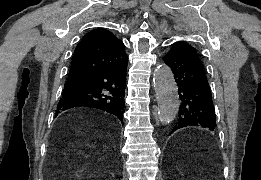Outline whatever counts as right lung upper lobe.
Instances as JSON below:
<instances>
[{"label":"right lung upper lobe","instance_id":"cb5924a9","mask_svg":"<svg viewBox=\"0 0 261 180\" xmlns=\"http://www.w3.org/2000/svg\"><path fill=\"white\" fill-rule=\"evenodd\" d=\"M124 44L99 28L87 33L77 45L66 83H82L93 72L125 64Z\"/></svg>","mask_w":261,"mask_h":180}]
</instances>
